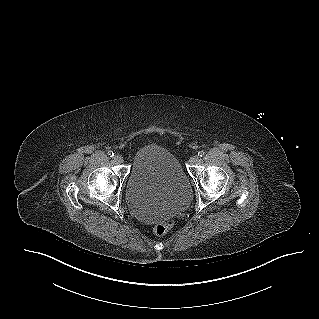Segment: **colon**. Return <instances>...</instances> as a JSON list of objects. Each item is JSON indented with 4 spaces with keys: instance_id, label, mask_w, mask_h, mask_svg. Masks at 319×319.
<instances>
[{
    "instance_id": "5ec220e1",
    "label": "colon",
    "mask_w": 319,
    "mask_h": 319,
    "mask_svg": "<svg viewBox=\"0 0 319 319\" xmlns=\"http://www.w3.org/2000/svg\"><path fill=\"white\" fill-rule=\"evenodd\" d=\"M173 225L174 220L168 219L166 221L156 224L152 230L155 235L161 236L166 234L173 227Z\"/></svg>"
}]
</instances>
